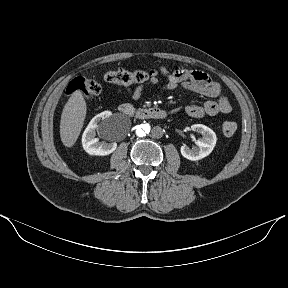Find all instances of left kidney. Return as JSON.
Masks as SVG:
<instances>
[{
    "label": "left kidney",
    "instance_id": "1",
    "mask_svg": "<svg viewBox=\"0 0 288 288\" xmlns=\"http://www.w3.org/2000/svg\"><path fill=\"white\" fill-rule=\"evenodd\" d=\"M192 131L201 134V138L196 141L197 147L189 148L181 146V154L188 160L197 161L208 156L214 149L217 141L215 132L203 124H194Z\"/></svg>",
    "mask_w": 288,
    "mask_h": 288
}]
</instances>
